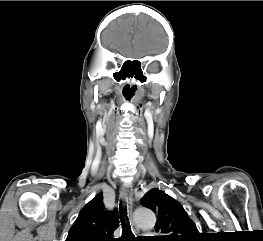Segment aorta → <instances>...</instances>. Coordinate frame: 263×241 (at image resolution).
<instances>
[{"label":"aorta","mask_w":263,"mask_h":241,"mask_svg":"<svg viewBox=\"0 0 263 241\" xmlns=\"http://www.w3.org/2000/svg\"><path fill=\"white\" fill-rule=\"evenodd\" d=\"M134 218L137 225L142 229H152L156 223V217L153 211L146 207H139L134 212Z\"/></svg>","instance_id":"1"}]
</instances>
